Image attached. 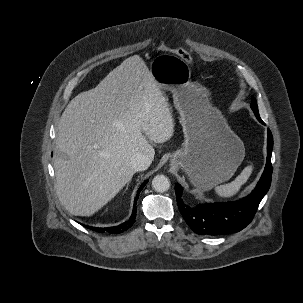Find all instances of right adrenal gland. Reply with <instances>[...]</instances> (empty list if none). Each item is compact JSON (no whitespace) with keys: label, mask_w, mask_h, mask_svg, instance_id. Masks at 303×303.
Here are the masks:
<instances>
[{"label":"right adrenal gland","mask_w":303,"mask_h":303,"mask_svg":"<svg viewBox=\"0 0 303 303\" xmlns=\"http://www.w3.org/2000/svg\"><path fill=\"white\" fill-rule=\"evenodd\" d=\"M129 183H130V181L127 183L126 190L128 189Z\"/></svg>","instance_id":"2a0ac1e0"}]
</instances>
